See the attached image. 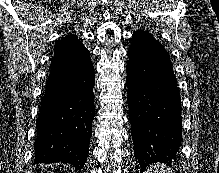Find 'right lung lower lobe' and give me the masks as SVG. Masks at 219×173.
<instances>
[{
	"label": "right lung lower lobe",
	"instance_id": "98d812e1",
	"mask_svg": "<svg viewBox=\"0 0 219 173\" xmlns=\"http://www.w3.org/2000/svg\"><path fill=\"white\" fill-rule=\"evenodd\" d=\"M94 85L89 51L67 63L52 59L36 121L35 163L65 162L82 169L89 154Z\"/></svg>",
	"mask_w": 219,
	"mask_h": 173
}]
</instances>
